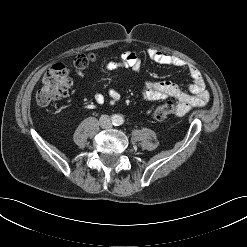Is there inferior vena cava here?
Wrapping results in <instances>:
<instances>
[{
    "label": "inferior vena cava",
    "instance_id": "602c4592",
    "mask_svg": "<svg viewBox=\"0 0 247 247\" xmlns=\"http://www.w3.org/2000/svg\"><path fill=\"white\" fill-rule=\"evenodd\" d=\"M100 125L103 128H110L112 126L111 120L108 115H102L100 118Z\"/></svg>",
    "mask_w": 247,
    "mask_h": 247
}]
</instances>
